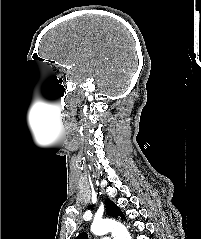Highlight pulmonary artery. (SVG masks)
<instances>
[{
    "mask_svg": "<svg viewBox=\"0 0 201 239\" xmlns=\"http://www.w3.org/2000/svg\"><path fill=\"white\" fill-rule=\"evenodd\" d=\"M98 239H110V237L104 236V237H100Z\"/></svg>",
    "mask_w": 201,
    "mask_h": 239,
    "instance_id": "pulmonary-artery-1",
    "label": "pulmonary artery"
}]
</instances>
